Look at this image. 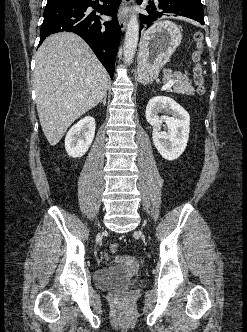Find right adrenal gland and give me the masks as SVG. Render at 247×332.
Returning <instances> with one entry per match:
<instances>
[{
    "label": "right adrenal gland",
    "instance_id": "obj_1",
    "mask_svg": "<svg viewBox=\"0 0 247 332\" xmlns=\"http://www.w3.org/2000/svg\"><path fill=\"white\" fill-rule=\"evenodd\" d=\"M106 98H107V96L105 95L104 98L102 99V101L100 102V103H103L104 106L106 105Z\"/></svg>",
    "mask_w": 247,
    "mask_h": 332
}]
</instances>
